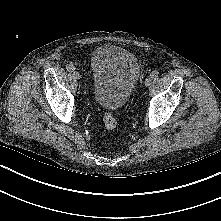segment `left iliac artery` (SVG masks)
<instances>
[{
	"label": "left iliac artery",
	"mask_w": 221,
	"mask_h": 221,
	"mask_svg": "<svg viewBox=\"0 0 221 221\" xmlns=\"http://www.w3.org/2000/svg\"><path fill=\"white\" fill-rule=\"evenodd\" d=\"M151 78L156 79L159 77V72L158 71H152V73L150 74Z\"/></svg>",
	"instance_id": "left-iliac-artery-1"
}]
</instances>
